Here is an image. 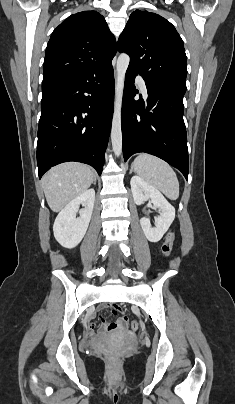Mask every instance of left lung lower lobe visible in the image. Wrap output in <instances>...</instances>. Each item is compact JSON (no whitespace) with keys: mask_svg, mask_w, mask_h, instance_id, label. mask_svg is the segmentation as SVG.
Here are the masks:
<instances>
[{"mask_svg":"<svg viewBox=\"0 0 235 404\" xmlns=\"http://www.w3.org/2000/svg\"><path fill=\"white\" fill-rule=\"evenodd\" d=\"M138 73L127 69L122 103L124 161L139 152L155 155L182 172L188 180L187 134L183 93L145 81L148 99L134 100Z\"/></svg>","mask_w":235,"mask_h":404,"instance_id":"left-lung-lower-lobe-1","label":"left lung lower lobe"}]
</instances>
